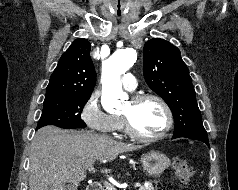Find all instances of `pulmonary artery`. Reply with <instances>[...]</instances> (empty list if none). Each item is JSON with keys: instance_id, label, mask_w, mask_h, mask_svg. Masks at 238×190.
Listing matches in <instances>:
<instances>
[{"instance_id": "pulmonary-artery-1", "label": "pulmonary artery", "mask_w": 238, "mask_h": 190, "mask_svg": "<svg viewBox=\"0 0 238 190\" xmlns=\"http://www.w3.org/2000/svg\"><path fill=\"white\" fill-rule=\"evenodd\" d=\"M122 85L128 91H134L137 87V81L133 74L126 73L122 77Z\"/></svg>"}]
</instances>
